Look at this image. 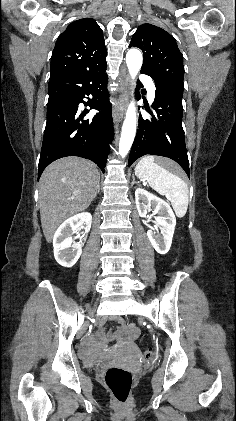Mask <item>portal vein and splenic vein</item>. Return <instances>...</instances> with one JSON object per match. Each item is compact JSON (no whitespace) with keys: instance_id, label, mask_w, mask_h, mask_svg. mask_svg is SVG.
Wrapping results in <instances>:
<instances>
[{"instance_id":"18ae733b","label":"portal vein and splenic vein","mask_w":236,"mask_h":421,"mask_svg":"<svg viewBox=\"0 0 236 421\" xmlns=\"http://www.w3.org/2000/svg\"><path fill=\"white\" fill-rule=\"evenodd\" d=\"M71 198H75V196H71Z\"/></svg>"}]
</instances>
